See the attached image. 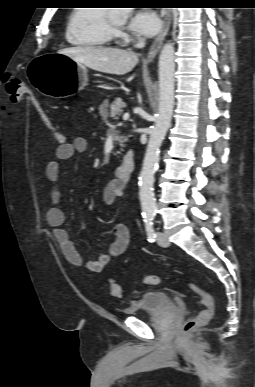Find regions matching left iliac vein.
<instances>
[{"label":"left iliac vein","mask_w":255,"mask_h":387,"mask_svg":"<svg viewBox=\"0 0 255 387\" xmlns=\"http://www.w3.org/2000/svg\"><path fill=\"white\" fill-rule=\"evenodd\" d=\"M157 243L162 247H168L170 245V242L163 232H157L156 233Z\"/></svg>","instance_id":"4c4485c4"}]
</instances>
